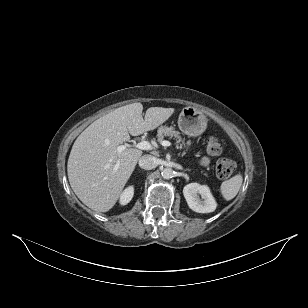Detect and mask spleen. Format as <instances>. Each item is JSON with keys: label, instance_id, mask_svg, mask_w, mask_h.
<instances>
[{"label": "spleen", "instance_id": "spleen-1", "mask_svg": "<svg viewBox=\"0 0 308 308\" xmlns=\"http://www.w3.org/2000/svg\"><path fill=\"white\" fill-rule=\"evenodd\" d=\"M243 182V177L241 174H237L222 182L220 186L221 194L223 198L227 201L232 200L239 192Z\"/></svg>", "mask_w": 308, "mask_h": 308}]
</instances>
